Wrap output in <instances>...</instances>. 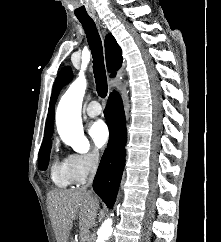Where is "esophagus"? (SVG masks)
<instances>
[{
    "instance_id": "esophagus-1",
    "label": "esophagus",
    "mask_w": 221,
    "mask_h": 242,
    "mask_svg": "<svg viewBox=\"0 0 221 242\" xmlns=\"http://www.w3.org/2000/svg\"><path fill=\"white\" fill-rule=\"evenodd\" d=\"M99 26H101L100 22L98 21Z\"/></svg>"
}]
</instances>
